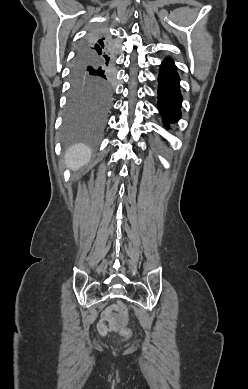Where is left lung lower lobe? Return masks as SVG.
Wrapping results in <instances>:
<instances>
[{"label":"left lung lower lobe","mask_w":248,"mask_h":389,"mask_svg":"<svg viewBox=\"0 0 248 389\" xmlns=\"http://www.w3.org/2000/svg\"><path fill=\"white\" fill-rule=\"evenodd\" d=\"M180 78L172 59H165L158 76V108L166 125L181 117Z\"/></svg>","instance_id":"1"}]
</instances>
